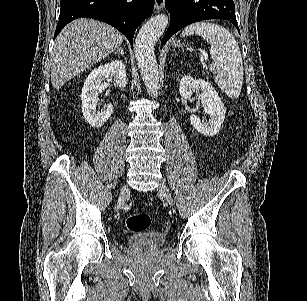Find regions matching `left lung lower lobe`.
I'll use <instances>...</instances> for the list:
<instances>
[{
    "mask_svg": "<svg viewBox=\"0 0 307 301\" xmlns=\"http://www.w3.org/2000/svg\"><path fill=\"white\" fill-rule=\"evenodd\" d=\"M165 6L171 14V21L161 40L162 45L183 27L207 19L228 20L239 31L233 0H166Z\"/></svg>",
    "mask_w": 307,
    "mask_h": 301,
    "instance_id": "left-lung-lower-lobe-1",
    "label": "left lung lower lobe"
}]
</instances>
